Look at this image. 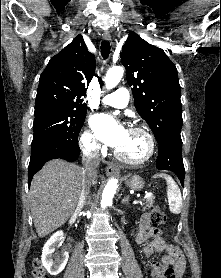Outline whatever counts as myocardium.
Here are the masks:
<instances>
[{
    "instance_id": "obj_1",
    "label": "myocardium",
    "mask_w": 221,
    "mask_h": 278,
    "mask_svg": "<svg viewBox=\"0 0 221 278\" xmlns=\"http://www.w3.org/2000/svg\"><path fill=\"white\" fill-rule=\"evenodd\" d=\"M129 131L140 133L146 138L147 145H148V150H147L146 155L141 159H136V160L129 159V158L125 157L124 155H122L117 149L114 150V155L118 160H120L121 162H124L128 165L141 166V165L149 162L153 158V156L155 154V139H154L152 133L143 127H137V126L131 127V128H129Z\"/></svg>"
}]
</instances>
